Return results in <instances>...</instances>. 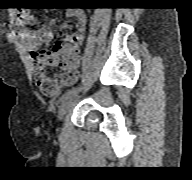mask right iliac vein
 <instances>
[{
    "label": "right iliac vein",
    "mask_w": 192,
    "mask_h": 180,
    "mask_svg": "<svg viewBox=\"0 0 192 180\" xmlns=\"http://www.w3.org/2000/svg\"><path fill=\"white\" fill-rule=\"evenodd\" d=\"M76 101V96L64 101L61 106L59 107L58 118L61 120L65 114L71 109Z\"/></svg>",
    "instance_id": "1"
}]
</instances>
